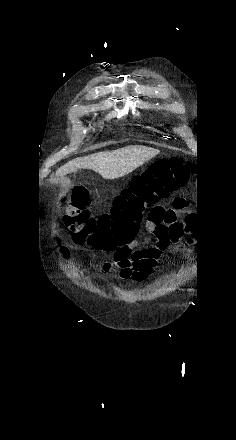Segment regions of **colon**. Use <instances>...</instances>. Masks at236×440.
<instances>
[{"instance_id": "colon-1", "label": "colon", "mask_w": 236, "mask_h": 440, "mask_svg": "<svg viewBox=\"0 0 236 440\" xmlns=\"http://www.w3.org/2000/svg\"><path fill=\"white\" fill-rule=\"evenodd\" d=\"M190 168L179 158L161 160L136 176L114 201L110 213L91 216L87 210L89 194L75 187L64 198V225L73 231L77 243L109 250L129 243L145 214L189 179Z\"/></svg>"}]
</instances>
